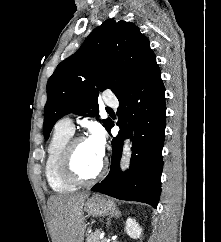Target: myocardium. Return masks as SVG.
I'll use <instances>...</instances> for the list:
<instances>
[{
    "label": "myocardium",
    "instance_id": "1",
    "mask_svg": "<svg viewBox=\"0 0 221 242\" xmlns=\"http://www.w3.org/2000/svg\"><path fill=\"white\" fill-rule=\"evenodd\" d=\"M84 140L85 138L82 136H77L70 139L64 149L60 163L61 175L64 177V179L76 185L89 184L98 180L100 177H102L107 167L106 159L102 158L98 170L93 175L87 177L77 172L74 164L76 146L79 142Z\"/></svg>",
    "mask_w": 221,
    "mask_h": 242
}]
</instances>
